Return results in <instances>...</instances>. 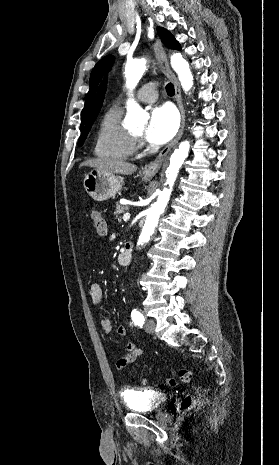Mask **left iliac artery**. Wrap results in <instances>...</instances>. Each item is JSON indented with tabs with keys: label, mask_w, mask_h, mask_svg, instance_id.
<instances>
[{
	"label": "left iliac artery",
	"mask_w": 279,
	"mask_h": 465,
	"mask_svg": "<svg viewBox=\"0 0 279 465\" xmlns=\"http://www.w3.org/2000/svg\"><path fill=\"white\" fill-rule=\"evenodd\" d=\"M131 318H132L135 325H137L139 327L143 326L145 318H144L143 314L140 311L134 309L132 311V313H131Z\"/></svg>",
	"instance_id": "left-iliac-artery-1"
}]
</instances>
